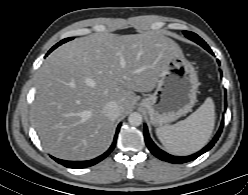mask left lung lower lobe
Here are the masks:
<instances>
[{"label": "left lung lower lobe", "instance_id": "0a47b994", "mask_svg": "<svg viewBox=\"0 0 248 195\" xmlns=\"http://www.w3.org/2000/svg\"><path fill=\"white\" fill-rule=\"evenodd\" d=\"M206 50L208 52H210L211 54H213V52L211 51V49L209 47ZM223 126H224V117L222 118L220 128H219L217 134L215 135V137L213 138V140L207 146H205L202 150H200L199 152H197L193 155H190V156H185V157L173 156V155H170V154L166 153L165 151L159 149L158 146L151 140L146 125H144V137H145V141H146V145H147L148 149L157 158H159L163 161L170 162V163L179 164V163H186V162L195 160L197 157H199L203 153L210 150L214 146L215 142L218 140V138L222 132Z\"/></svg>", "mask_w": 248, "mask_h": 195}]
</instances>
